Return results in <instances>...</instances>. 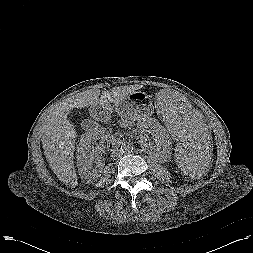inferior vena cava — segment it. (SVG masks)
I'll return each mask as SVG.
<instances>
[{
    "label": "inferior vena cava",
    "mask_w": 253,
    "mask_h": 253,
    "mask_svg": "<svg viewBox=\"0 0 253 253\" xmlns=\"http://www.w3.org/2000/svg\"><path fill=\"white\" fill-rule=\"evenodd\" d=\"M111 154L113 158H120L123 155V152L119 148H114L111 150Z\"/></svg>",
    "instance_id": "inferior-vena-cava-1"
}]
</instances>
